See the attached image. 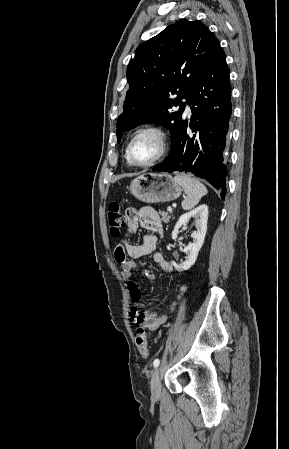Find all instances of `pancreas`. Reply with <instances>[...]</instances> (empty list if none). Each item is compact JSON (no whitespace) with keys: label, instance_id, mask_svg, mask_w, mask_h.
I'll use <instances>...</instances> for the list:
<instances>
[{"label":"pancreas","instance_id":"cf45deb5","mask_svg":"<svg viewBox=\"0 0 289 449\" xmlns=\"http://www.w3.org/2000/svg\"><path fill=\"white\" fill-rule=\"evenodd\" d=\"M159 214L162 216V221L168 223L171 220V214L165 211L159 210Z\"/></svg>","mask_w":289,"mask_h":449}]
</instances>
